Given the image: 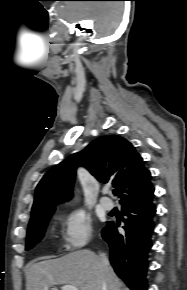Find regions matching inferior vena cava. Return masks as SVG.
<instances>
[{
  "instance_id": "602c4592",
  "label": "inferior vena cava",
  "mask_w": 187,
  "mask_h": 290,
  "mask_svg": "<svg viewBox=\"0 0 187 290\" xmlns=\"http://www.w3.org/2000/svg\"><path fill=\"white\" fill-rule=\"evenodd\" d=\"M100 259H101L103 265H105V266H108L109 265L108 258L106 257V255L104 253H101L100 254ZM103 290H106L105 285L103 286Z\"/></svg>"
}]
</instances>
